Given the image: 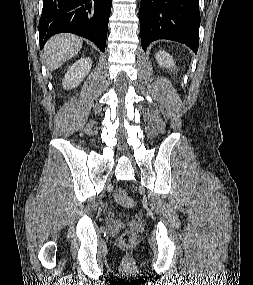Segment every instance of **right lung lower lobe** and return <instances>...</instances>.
Masks as SVG:
<instances>
[{
  "mask_svg": "<svg viewBox=\"0 0 253 285\" xmlns=\"http://www.w3.org/2000/svg\"><path fill=\"white\" fill-rule=\"evenodd\" d=\"M112 0H43L40 48L53 35L68 32L94 42L104 52Z\"/></svg>",
  "mask_w": 253,
  "mask_h": 285,
  "instance_id": "98d812e1",
  "label": "right lung lower lobe"
}]
</instances>
